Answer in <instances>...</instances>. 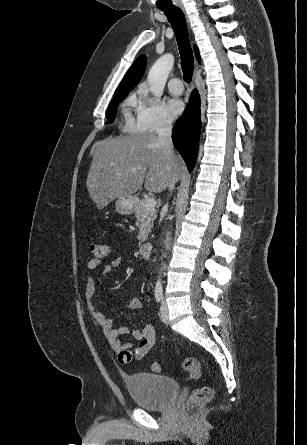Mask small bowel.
Returning a JSON list of instances; mask_svg holds the SVG:
<instances>
[{
    "instance_id": "small-bowel-1",
    "label": "small bowel",
    "mask_w": 307,
    "mask_h": 445,
    "mask_svg": "<svg viewBox=\"0 0 307 445\" xmlns=\"http://www.w3.org/2000/svg\"><path fill=\"white\" fill-rule=\"evenodd\" d=\"M124 263L122 257H116L109 264H107L103 273L105 275L112 274L115 270L120 268ZM99 262L95 259L90 260L87 264L89 271L96 269ZM96 293V283L92 276H87L84 288V297L87 308L91 313L95 323L102 330L104 336L108 340L112 349L117 353L118 360L121 364H132L134 361H139L145 357L156 343V331L153 325L147 324L140 330L132 332V342H122L121 337L130 334V330L126 326L114 327L112 320L100 313L94 303V296ZM128 308L130 311L139 310L142 308V302L139 298H132Z\"/></svg>"
}]
</instances>
